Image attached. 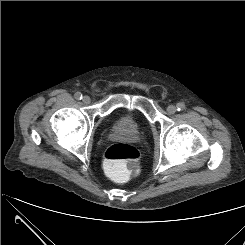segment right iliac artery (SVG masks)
Returning a JSON list of instances; mask_svg holds the SVG:
<instances>
[{
  "label": "right iliac artery",
  "mask_w": 245,
  "mask_h": 245,
  "mask_svg": "<svg viewBox=\"0 0 245 245\" xmlns=\"http://www.w3.org/2000/svg\"><path fill=\"white\" fill-rule=\"evenodd\" d=\"M75 98H76L77 100H81V99H82V94H81L80 92H77V93L75 94Z\"/></svg>",
  "instance_id": "obj_1"
}]
</instances>
